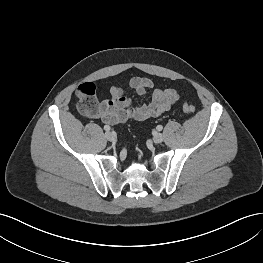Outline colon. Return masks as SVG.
I'll return each mask as SVG.
<instances>
[{
	"mask_svg": "<svg viewBox=\"0 0 263 263\" xmlns=\"http://www.w3.org/2000/svg\"><path fill=\"white\" fill-rule=\"evenodd\" d=\"M78 108L84 114H90L97 106V89L93 83L86 82L79 85L77 89ZM183 110L186 113H193L195 107L190 103L183 105Z\"/></svg>",
	"mask_w": 263,
	"mask_h": 263,
	"instance_id": "5ec220e1",
	"label": "colon"
}]
</instances>
